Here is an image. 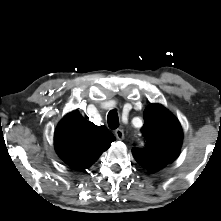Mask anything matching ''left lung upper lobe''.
<instances>
[{
  "instance_id": "left-lung-upper-lobe-1",
  "label": "left lung upper lobe",
  "mask_w": 221,
  "mask_h": 221,
  "mask_svg": "<svg viewBox=\"0 0 221 221\" xmlns=\"http://www.w3.org/2000/svg\"><path fill=\"white\" fill-rule=\"evenodd\" d=\"M143 117L142 132L147 144L143 149H132V154L141 166L155 172L178 157L182 129L176 117L160 104L148 106Z\"/></svg>"
}]
</instances>
